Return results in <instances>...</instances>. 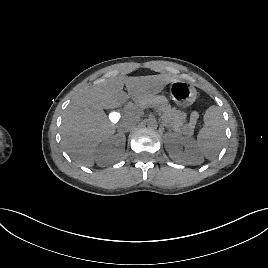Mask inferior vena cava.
<instances>
[{
	"instance_id": "obj_1",
	"label": "inferior vena cava",
	"mask_w": 268,
	"mask_h": 268,
	"mask_svg": "<svg viewBox=\"0 0 268 268\" xmlns=\"http://www.w3.org/2000/svg\"><path fill=\"white\" fill-rule=\"evenodd\" d=\"M138 119L133 116L125 117L119 124L118 130L121 132H128L130 131L137 123Z\"/></svg>"
}]
</instances>
